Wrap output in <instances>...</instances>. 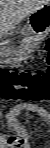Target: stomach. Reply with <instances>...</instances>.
Here are the masks:
<instances>
[{
    "mask_svg": "<svg viewBox=\"0 0 50 148\" xmlns=\"http://www.w3.org/2000/svg\"><path fill=\"white\" fill-rule=\"evenodd\" d=\"M29 34L24 41L6 42L0 61L4 64H15L29 58L50 32V5L33 12L28 18Z\"/></svg>",
    "mask_w": 50,
    "mask_h": 148,
    "instance_id": "stomach-1",
    "label": "stomach"
}]
</instances>
